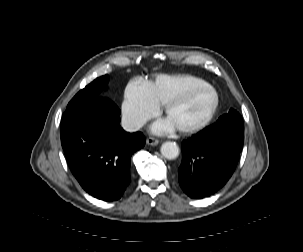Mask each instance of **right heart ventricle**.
Masks as SVG:
<instances>
[{
    "mask_svg": "<svg viewBox=\"0 0 303 252\" xmlns=\"http://www.w3.org/2000/svg\"><path fill=\"white\" fill-rule=\"evenodd\" d=\"M202 83L193 77L159 76L145 89L149 98L158 106L178 100Z\"/></svg>",
    "mask_w": 303,
    "mask_h": 252,
    "instance_id": "right-heart-ventricle-1",
    "label": "right heart ventricle"
}]
</instances>
